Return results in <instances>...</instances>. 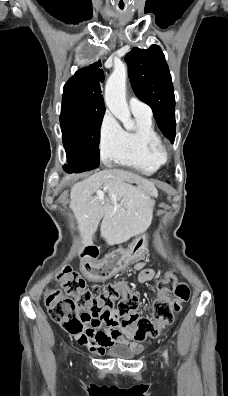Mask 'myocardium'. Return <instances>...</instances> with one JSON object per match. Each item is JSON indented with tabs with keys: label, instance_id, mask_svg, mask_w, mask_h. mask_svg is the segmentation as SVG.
<instances>
[{
	"label": "myocardium",
	"instance_id": "1",
	"mask_svg": "<svg viewBox=\"0 0 228 396\" xmlns=\"http://www.w3.org/2000/svg\"><path fill=\"white\" fill-rule=\"evenodd\" d=\"M149 152L151 156L160 164H164L168 160V150L161 140L153 143L149 148Z\"/></svg>",
	"mask_w": 228,
	"mask_h": 396
}]
</instances>
